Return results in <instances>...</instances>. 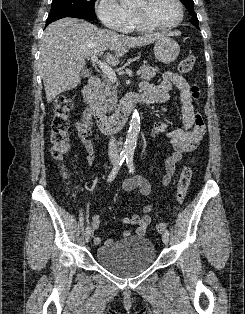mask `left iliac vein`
<instances>
[{
    "instance_id": "4c4485c4",
    "label": "left iliac vein",
    "mask_w": 245,
    "mask_h": 314,
    "mask_svg": "<svg viewBox=\"0 0 245 314\" xmlns=\"http://www.w3.org/2000/svg\"><path fill=\"white\" fill-rule=\"evenodd\" d=\"M162 241H163L164 244H168L169 243V236L164 233L162 235Z\"/></svg>"
}]
</instances>
